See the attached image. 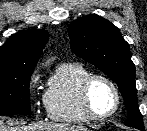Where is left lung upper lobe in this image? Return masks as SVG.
I'll use <instances>...</instances> for the list:
<instances>
[{
  "label": "left lung upper lobe",
  "instance_id": "obj_1",
  "mask_svg": "<svg viewBox=\"0 0 147 131\" xmlns=\"http://www.w3.org/2000/svg\"><path fill=\"white\" fill-rule=\"evenodd\" d=\"M68 33L72 52L103 71L118 85L128 109L125 124L143 129L137 105L135 65L130 47L119 29L108 20L90 14L70 23Z\"/></svg>",
  "mask_w": 147,
  "mask_h": 131
}]
</instances>
